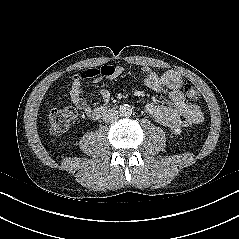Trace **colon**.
Segmentation results:
<instances>
[{
	"mask_svg": "<svg viewBox=\"0 0 239 239\" xmlns=\"http://www.w3.org/2000/svg\"><path fill=\"white\" fill-rule=\"evenodd\" d=\"M183 92L186 98L196 103L200 99L199 90L191 83L183 85ZM76 117V112L73 108L66 107L61 109H54L49 114L50 131L54 135H59L66 132Z\"/></svg>",
	"mask_w": 239,
	"mask_h": 239,
	"instance_id": "colon-1",
	"label": "colon"
}]
</instances>
